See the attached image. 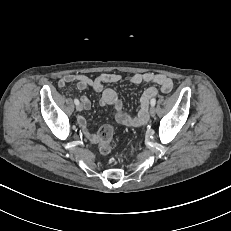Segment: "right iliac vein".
<instances>
[{
	"instance_id": "obj_1",
	"label": "right iliac vein",
	"mask_w": 231,
	"mask_h": 231,
	"mask_svg": "<svg viewBox=\"0 0 231 231\" xmlns=\"http://www.w3.org/2000/svg\"><path fill=\"white\" fill-rule=\"evenodd\" d=\"M76 109H77V111H82V110H83L82 104H78V105L76 106Z\"/></svg>"
}]
</instances>
